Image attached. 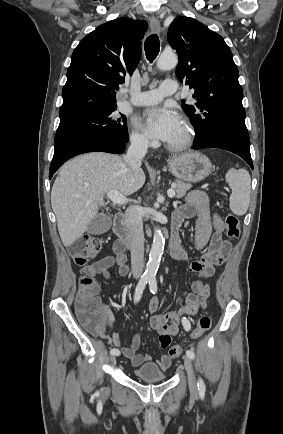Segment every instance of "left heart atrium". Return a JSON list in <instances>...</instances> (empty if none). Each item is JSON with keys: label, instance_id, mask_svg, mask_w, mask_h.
<instances>
[{"label": "left heart atrium", "instance_id": "39dd6f15", "mask_svg": "<svg viewBox=\"0 0 283 434\" xmlns=\"http://www.w3.org/2000/svg\"><path fill=\"white\" fill-rule=\"evenodd\" d=\"M181 122L169 106L152 108L144 113L143 128L154 139L169 142L177 134Z\"/></svg>", "mask_w": 283, "mask_h": 434}]
</instances>
